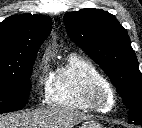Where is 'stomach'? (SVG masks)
<instances>
[{"label":"stomach","mask_w":142,"mask_h":128,"mask_svg":"<svg viewBox=\"0 0 142 128\" xmlns=\"http://www.w3.org/2000/svg\"><path fill=\"white\" fill-rule=\"evenodd\" d=\"M79 128H104V127L100 123L92 119H88L81 126H79Z\"/></svg>","instance_id":"0dacf381"}]
</instances>
